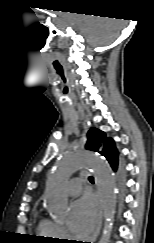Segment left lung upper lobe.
Listing matches in <instances>:
<instances>
[{
	"label": "left lung upper lobe",
	"instance_id": "1",
	"mask_svg": "<svg viewBox=\"0 0 154 243\" xmlns=\"http://www.w3.org/2000/svg\"><path fill=\"white\" fill-rule=\"evenodd\" d=\"M86 149L99 152L103 155L113 167L118 166L117 149L113 139L106 138L103 131L92 128L87 134Z\"/></svg>",
	"mask_w": 154,
	"mask_h": 243
}]
</instances>
